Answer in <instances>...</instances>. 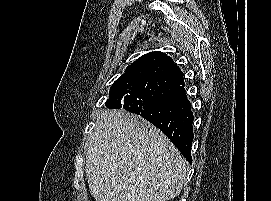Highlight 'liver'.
I'll list each match as a JSON object with an SVG mask.
<instances>
[{
    "label": "liver",
    "instance_id": "obj_1",
    "mask_svg": "<svg viewBox=\"0 0 271 201\" xmlns=\"http://www.w3.org/2000/svg\"><path fill=\"white\" fill-rule=\"evenodd\" d=\"M85 174L96 201H167L180 194L186 163L141 116L104 111L87 143Z\"/></svg>",
    "mask_w": 271,
    "mask_h": 201
}]
</instances>
